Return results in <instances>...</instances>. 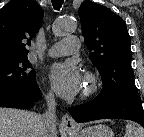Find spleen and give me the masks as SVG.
<instances>
[{"label":"spleen","instance_id":"obj_1","mask_svg":"<svg viewBox=\"0 0 144 137\" xmlns=\"http://www.w3.org/2000/svg\"><path fill=\"white\" fill-rule=\"evenodd\" d=\"M125 137H144V131L133 123H128L126 125Z\"/></svg>","mask_w":144,"mask_h":137}]
</instances>
